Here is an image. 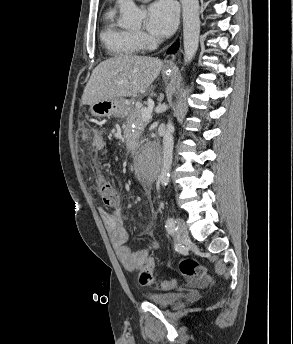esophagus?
I'll return each instance as SVG.
<instances>
[{
  "label": "esophagus",
  "mask_w": 293,
  "mask_h": 344,
  "mask_svg": "<svg viewBox=\"0 0 293 344\" xmlns=\"http://www.w3.org/2000/svg\"><path fill=\"white\" fill-rule=\"evenodd\" d=\"M173 61H174V57H172V58L167 62L166 67H167V68L173 67V65H174Z\"/></svg>",
  "instance_id": "obj_1"
}]
</instances>
